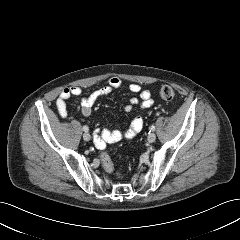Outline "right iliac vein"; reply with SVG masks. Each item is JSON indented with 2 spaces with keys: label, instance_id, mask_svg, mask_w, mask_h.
<instances>
[{
  "label": "right iliac vein",
  "instance_id": "obj_1",
  "mask_svg": "<svg viewBox=\"0 0 240 240\" xmlns=\"http://www.w3.org/2000/svg\"><path fill=\"white\" fill-rule=\"evenodd\" d=\"M83 139H84L85 141H90L91 135H90L88 132H85V133L83 134Z\"/></svg>",
  "mask_w": 240,
  "mask_h": 240
}]
</instances>
